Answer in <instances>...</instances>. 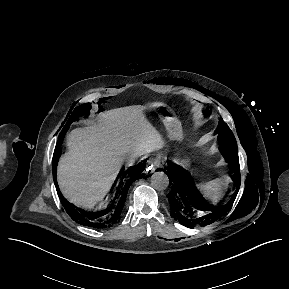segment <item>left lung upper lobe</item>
Segmentation results:
<instances>
[{"instance_id": "left-lung-upper-lobe-1", "label": "left lung upper lobe", "mask_w": 289, "mask_h": 289, "mask_svg": "<svg viewBox=\"0 0 289 289\" xmlns=\"http://www.w3.org/2000/svg\"><path fill=\"white\" fill-rule=\"evenodd\" d=\"M205 115L209 116L211 111H204ZM218 134V141L220 147L226 150V161L232 162L234 165L239 164L238 151L236 149L235 141L232 132L223 119L219 120L218 127L215 131Z\"/></svg>"}]
</instances>
